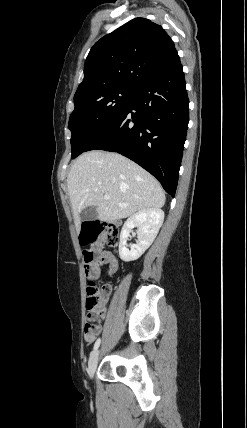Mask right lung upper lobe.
<instances>
[{
  "mask_svg": "<svg viewBox=\"0 0 247 428\" xmlns=\"http://www.w3.org/2000/svg\"><path fill=\"white\" fill-rule=\"evenodd\" d=\"M178 59L172 39L160 25L135 18L94 44L74 97L116 86L138 90Z\"/></svg>",
  "mask_w": 247,
  "mask_h": 428,
  "instance_id": "right-lung-upper-lobe-1",
  "label": "right lung upper lobe"
}]
</instances>
